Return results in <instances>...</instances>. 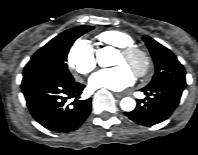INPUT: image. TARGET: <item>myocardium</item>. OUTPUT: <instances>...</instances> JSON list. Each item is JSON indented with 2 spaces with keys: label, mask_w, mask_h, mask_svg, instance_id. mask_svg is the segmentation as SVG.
Listing matches in <instances>:
<instances>
[{
  "label": "myocardium",
  "mask_w": 198,
  "mask_h": 155,
  "mask_svg": "<svg viewBox=\"0 0 198 155\" xmlns=\"http://www.w3.org/2000/svg\"><path fill=\"white\" fill-rule=\"evenodd\" d=\"M119 53L129 62L135 73L143 78L148 75L151 70L152 60L150 55L138 46H127L119 48Z\"/></svg>",
  "instance_id": "f54148a6"
}]
</instances>
